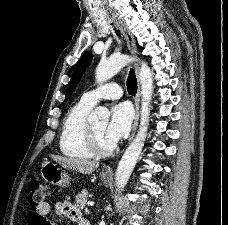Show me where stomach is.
Segmentation results:
<instances>
[{
  "label": "stomach",
  "instance_id": "obj_1",
  "mask_svg": "<svg viewBox=\"0 0 228 225\" xmlns=\"http://www.w3.org/2000/svg\"><path fill=\"white\" fill-rule=\"evenodd\" d=\"M41 175L44 181L50 183V185H57V187H68L70 185V177L66 171H63L61 167H58L56 163L52 161H45L41 167ZM104 185H109L110 179L104 177L103 173L100 175Z\"/></svg>",
  "mask_w": 228,
  "mask_h": 225
}]
</instances>
